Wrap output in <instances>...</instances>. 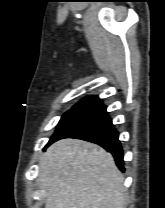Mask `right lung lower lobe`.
Listing matches in <instances>:
<instances>
[{"mask_svg":"<svg viewBox=\"0 0 165 208\" xmlns=\"http://www.w3.org/2000/svg\"><path fill=\"white\" fill-rule=\"evenodd\" d=\"M63 138L82 139L100 145L112 153L116 165L121 171H124L123 150L118 139L119 134L103 104L93 108L51 143Z\"/></svg>","mask_w":165,"mask_h":208,"instance_id":"1","label":"right lung lower lobe"}]
</instances>
